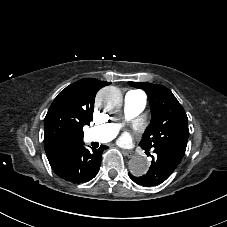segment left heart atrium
Masks as SVG:
<instances>
[{
  "label": "left heart atrium",
  "instance_id": "left-heart-atrium-1",
  "mask_svg": "<svg viewBox=\"0 0 227 227\" xmlns=\"http://www.w3.org/2000/svg\"><path fill=\"white\" fill-rule=\"evenodd\" d=\"M141 129H142V128H141V125H140V124H136V125L134 126L135 132H140ZM130 135H131V133H130L129 130H124V131L122 132V134H121V139H122V140H126V139H128V138L130 137Z\"/></svg>",
  "mask_w": 227,
  "mask_h": 227
}]
</instances>
